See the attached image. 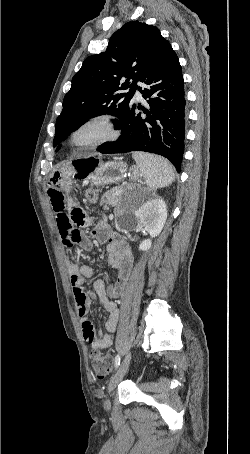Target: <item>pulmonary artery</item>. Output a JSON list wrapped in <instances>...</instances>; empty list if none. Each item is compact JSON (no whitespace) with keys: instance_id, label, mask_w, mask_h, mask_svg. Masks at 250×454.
<instances>
[{"instance_id":"1","label":"pulmonary artery","mask_w":250,"mask_h":454,"mask_svg":"<svg viewBox=\"0 0 250 454\" xmlns=\"http://www.w3.org/2000/svg\"><path fill=\"white\" fill-rule=\"evenodd\" d=\"M135 97L141 99V93L139 92V90H136Z\"/></svg>"}]
</instances>
